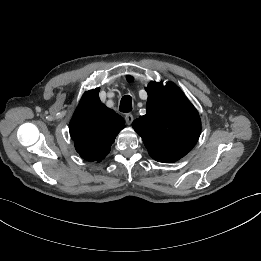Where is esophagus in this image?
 Returning <instances> with one entry per match:
<instances>
[{
	"label": "esophagus",
	"mask_w": 261,
	"mask_h": 261,
	"mask_svg": "<svg viewBox=\"0 0 261 261\" xmlns=\"http://www.w3.org/2000/svg\"><path fill=\"white\" fill-rule=\"evenodd\" d=\"M133 120H134V117H133L132 114H127V115L125 116V121H126V124H127V125H131L132 122H133Z\"/></svg>",
	"instance_id": "34e87169"
}]
</instances>
